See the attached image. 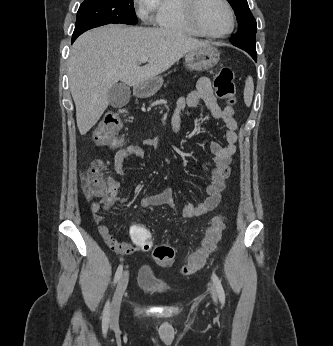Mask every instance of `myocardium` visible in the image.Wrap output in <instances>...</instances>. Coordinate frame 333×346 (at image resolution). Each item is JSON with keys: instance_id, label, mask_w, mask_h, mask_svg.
<instances>
[{"instance_id": "f54148a6", "label": "myocardium", "mask_w": 333, "mask_h": 346, "mask_svg": "<svg viewBox=\"0 0 333 346\" xmlns=\"http://www.w3.org/2000/svg\"><path fill=\"white\" fill-rule=\"evenodd\" d=\"M182 1V6L183 10L185 13V16L190 23V25L197 31L198 34L210 37V38H215V39H221L229 36L234 28H235V13L234 10L229 3L228 0H220L226 7L229 18H230V25L226 31L223 33L215 34L207 31L203 25L200 22L199 19V7L203 0H181Z\"/></svg>"}]
</instances>
